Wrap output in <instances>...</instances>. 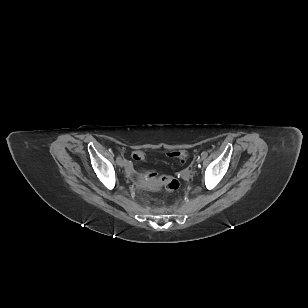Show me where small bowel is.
I'll list each match as a JSON object with an SVG mask.
<instances>
[{"mask_svg": "<svg viewBox=\"0 0 308 308\" xmlns=\"http://www.w3.org/2000/svg\"><path fill=\"white\" fill-rule=\"evenodd\" d=\"M127 167H128V170H129V171L132 170V165H131L130 163H128Z\"/></svg>", "mask_w": 308, "mask_h": 308, "instance_id": "c3829d8e", "label": "small bowel"}]
</instances>
